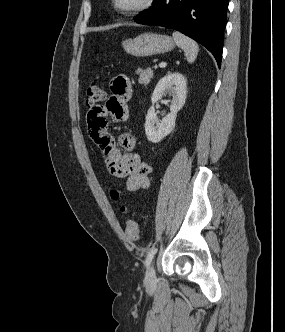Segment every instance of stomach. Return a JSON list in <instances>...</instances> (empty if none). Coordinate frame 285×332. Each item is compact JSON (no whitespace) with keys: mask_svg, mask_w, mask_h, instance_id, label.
I'll use <instances>...</instances> for the list:
<instances>
[{"mask_svg":"<svg viewBox=\"0 0 285 332\" xmlns=\"http://www.w3.org/2000/svg\"><path fill=\"white\" fill-rule=\"evenodd\" d=\"M124 50L136 57H147L171 51L175 43L168 35L144 33L122 42Z\"/></svg>","mask_w":285,"mask_h":332,"instance_id":"1","label":"stomach"}]
</instances>
